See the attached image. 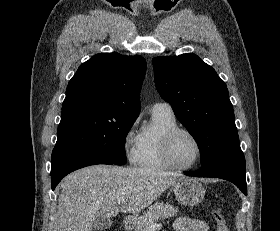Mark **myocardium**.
<instances>
[{"instance_id": "obj_1", "label": "myocardium", "mask_w": 280, "mask_h": 231, "mask_svg": "<svg viewBox=\"0 0 280 231\" xmlns=\"http://www.w3.org/2000/svg\"><path fill=\"white\" fill-rule=\"evenodd\" d=\"M181 133H185L190 135L197 143L198 146V157L196 162L193 165L190 166H180L177 165L171 155V147H172V142L175 139V137L178 134ZM161 152H162V156L164 158V160L173 168L176 170H180V171H189L192 170L196 167H198L203 159V155H204V147H203V143L200 140V138L190 129L184 128V127H175L173 129H170L168 131H166L161 139Z\"/></svg>"}]
</instances>
